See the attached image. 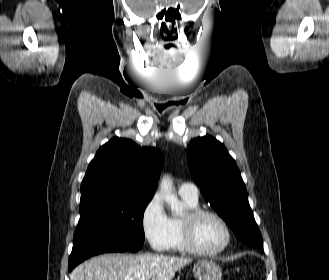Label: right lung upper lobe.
<instances>
[{
	"instance_id": "right-lung-upper-lobe-1",
	"label": "right lung upper lobe",
	"mask_w": 329,
	"mask_h": 280,
	"mask_svg": "<svg viewBox=\"0 0 329 280\" xmlns=\"http://www.w3.org/2000/svg\"><path fill=\"white\" fill-rule=\"evenodd\" d=\"M163 160L156 148L112 138L89 164L81 184L80 204L120 196L153 197Z\"/></svg>"
}]
</instances>
